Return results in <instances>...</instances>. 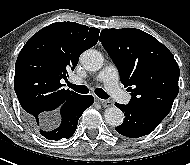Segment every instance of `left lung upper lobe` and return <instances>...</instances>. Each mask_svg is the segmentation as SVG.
Returning a JSON list of instances; mask_svg holds the SVG:
<instances>
[{
	"mask_svg": "<svg viewBox=\"0 0 190 165\" xmlns=\"http://www.w3.org/2000/svg\"><path fill=\"white\" fill-rule=\"evenodd\" d=\"M100 41L131 92L129 103L170 112L178 95L179 67L172 53L139 29H103Z\"/></svg>",
	"mask_w": 190,
	"mask_h": 165,
	"instance_id": "1",
	"label": "left lung upper lobe"
}]
</instances>
